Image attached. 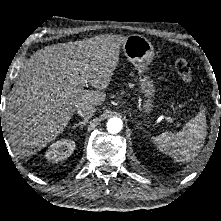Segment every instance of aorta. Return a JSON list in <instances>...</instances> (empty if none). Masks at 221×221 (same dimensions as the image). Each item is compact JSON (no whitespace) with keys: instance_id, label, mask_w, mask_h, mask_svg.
Wrapping results in <instances>:
<instances>
[{"instance_id":"aorta-1","label":"aorta","mask_w":221,"mask_h":221,"mask_svg":"<svg viewBox=\"0 0 221 221\" xmlns=\"http://www.w3.org/2000/svg\"><path fill=\"white\" fill-rule=\"evenodd\" d=\"M107 131L111 134H117L122 130L123 122L118 117L110 118L106 124Z\"/></svg>"}]
</instances>
